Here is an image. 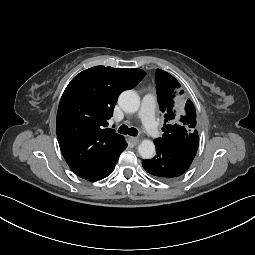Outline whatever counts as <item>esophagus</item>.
I'll use <instances>...</instances> for the list:
<instances>
[{"mask_svg": "<svg viewBox=\"0 0 255 255\" xmlns=\"http://www.w3.org/2000/svg\"><path fill=\"white\" fill-rule=\"evenodd\" d=\"M129 140L134 144L137 145L140 142V139L137 137H130Z\"/></svg>", "mask_w": 255, "mask_h": 255, "instance_id": "esophagus-1", "label": "esophagus"}]
</instances>
